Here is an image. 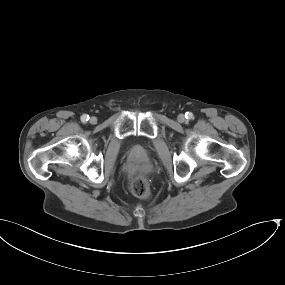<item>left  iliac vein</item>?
<instances>
[{
  "label": "left iliac vein",
  "instance_id": "1",
  "mask_svg": "<svg viewBox=\"0 0 285 285\" xmlns=\"http://www.w3.org/2000/svg\"><path fill=\"white\" fill-rule=\"evenodd\" d=\"M177 120L180 122V123H183L185 121V116L184 114H179L178 117H177Z\"/></svg>",
  "mask_w": 285,
  "mask_h": 285
}]
</instances>
